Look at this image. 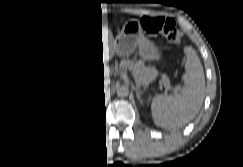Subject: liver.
<instances>
[{
    "label": "liver",
    "instance_id": "1",
    "mask_svg": "<svg viewBox=\"0 0 243 167\" xmlns=\"http://www.w3.org/2000/svg\"><path fill=\"white\" fill-rule=\"evenodd\" d=\"M101 36H102L101 42L103 45V47H102L103 59L107 60L112 56L113 49H115V51H116V48L112 43V36L107 28H105V27L102 28ZM99 81H100V77H99Z\"/></svg>",
    "mask_w": 243,
    "mask_h": 167
}]
</instances>
